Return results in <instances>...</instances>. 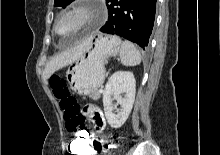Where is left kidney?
<instances>
[{
  "label": "left kidney",
  "instance_id": "left-kidney-1",
  "mask_svg": "<svg viewBox=\"0 0 220 155\" xmlns=\"http://www.w3.org/2000/svg\"><path fill=\"white\" fill-rule=\"evenodd\" d=\"M135 93L136 81L132 72L117 71L108 79L103 91V106L107 122L112 128H120L128 119ZM121 94H125L124 97ZM113 100L121 106L119 110Z\"/></svg>",
  "mask_w": 220,
  "mask_h": 155
}]
</instances>
